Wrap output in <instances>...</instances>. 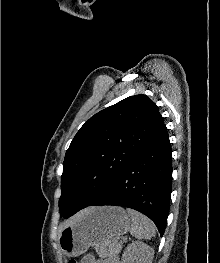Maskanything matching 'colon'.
<instances>
[{"mask_svg":"<svg viewBox=\"0 0 220 263\" xmlns=\"http://www.w3.org/2000/svg\"><path fill=\"white\" fill-rule=\"evenodd\" d=\"M68 263H78V261L77 260H75V259H71V260H69V262Z\"/></svg>","mask_w":220,"mask_h":263,"instance_id":"1","label":"colon"}]
</instances>
